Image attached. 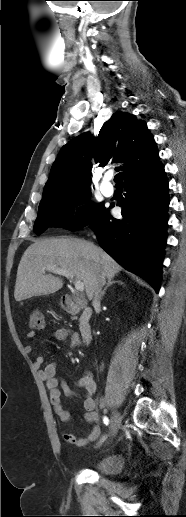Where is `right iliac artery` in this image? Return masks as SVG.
Masks as SVG:
<instances>
[{"label":"right iliac artery","mask_w":186,"mask_h":517,"mask_svg":"<svg viewBox=\"0 0 186 517\" xmlns=\"http://www.w3.org/2000/svg\"><path fill=\"white\" fill-rule=\"evenodd\" d=\"M103 422H104V424L108 425V424H109V419H108V417L104 416V417H103Z\"/></svg>","instance_id":"right-iliac-artery-1"}]
</instances>
